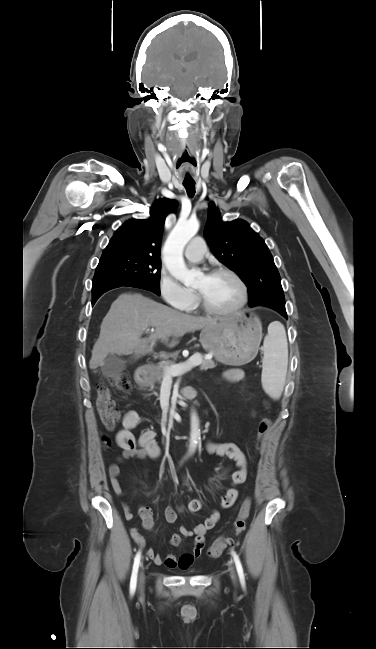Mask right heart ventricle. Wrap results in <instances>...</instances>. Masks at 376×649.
Masks as SVG:
<instances>
[{"label": "right heart ventricle", "mask_w": 376, "mask_h": 649, "mask_svg": "<svg viewBox=\"0 0 376 649\" xmlns=\"http://www.w3.org/2000/svg\"><path fill=\"white\" fill-rule=\"evenodd\" d=\"M196 308H197V303H196V300L194 298V300L185 309L187 311H194Z\"/></svg>", "instance_id": "1"}]
</instances>
